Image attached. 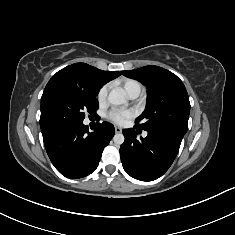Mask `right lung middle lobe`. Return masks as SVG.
<instances>
[{
    "instance_id": "1",
    "label": "right lung middle lobe",
    "mask_w": 235,
    "mask_h": 235,
    "mask_svg": "<svg viewBox=\"0 0 235 235\" xmlns=\"http://www.w3.org/2000/svg\"><path fill=\"white\" fill-rule=\"evenodd\" d=\"M98 92L90 91L64 76H53L41 97L40 125L83 122L85 114H96Z\"/></svg>"
}]
</instances>
